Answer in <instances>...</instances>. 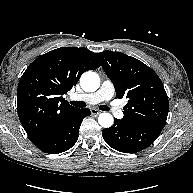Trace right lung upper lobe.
Masks as SVG:
<instances>
[{
	"label": "right lung upper lobe",
	"instance_id": "1",
	"mask_svg": "<svg viewBox=\"0 0 193 193\" xmlns=\"http://www.w3.org/2000/svg\"><path fill=\"white\" fill-rule=\"evenodd\" d=\"M98 67L95 53L69 47L52 50L28 66L18 84L17 111L32 143L46 138L78 110L63 95L85 71Z\"/></svg>",
	"mask_w": 193,
	"mask_h": 193
}]
</instances>
